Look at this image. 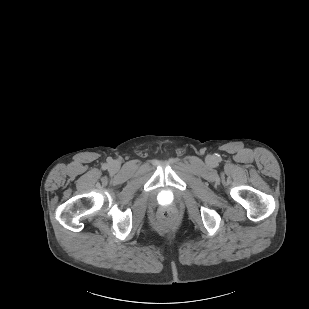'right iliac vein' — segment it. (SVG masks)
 <instances>
[{
	"mask_svg": "<svg viewBox=\"0 0 309 309\" xmlns=\"http://www.w3.org/2000/svg\"><path fill=\"white\" fill-rule=\"evenodd\" d=\"M119 168V164L117 162H112L111 165H110V169L112 171H117Z\"/></svg>",
	"mask_w": 309,
	"mask_h": 309,
	"instance_id": "63e3f726",
	"label": "right iliac vein"
}]
</instances>
